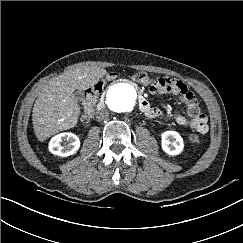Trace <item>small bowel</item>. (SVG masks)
Returning <instances> with one entry per match:
<instances>
[{
  "label": "small bowel",
  "mask_w": 243,
  "mask_h": 243,
  "mask_svg": "<svg viewBox=\"0 0 243 243\" xmlns=\"http://www.w3.org/2000/svg\"><path fill=\"white\" fill-rule=\"evenodd\" d=\"M162 78L164 83L162 85L151 86L150 91L155 94H178L180 100L187 107V114L190 119L180 113H176L174 115L176 123L184 127H189L199 134H206L208 132V119L194 93L184 82L178 79L169 76ZM146 115L150 118H159L162 117L163 113L160 109L151 107L150 112L146 113Z\"/></svg>",
  "instance_id": "obj_1"
}]
</instances>
